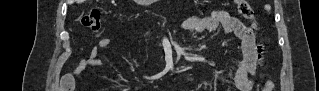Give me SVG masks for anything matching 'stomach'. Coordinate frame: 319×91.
<instances>
[{"instance_id":"stomach-1","label":"stomach","mask_w":319,"mask_h":91,"mask_svg":"<svg viewBox=\"0 0 319 91\" xmlns=\"http://www.w3.org/2000/svg\"><path fill=\"white\" fill-rule=\"evenodd\" d=\"M139 2L149 3L152 2V0H140Z\"/></svg>"}]
</instances>
